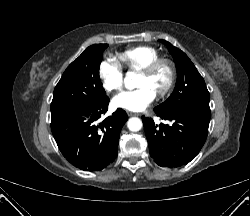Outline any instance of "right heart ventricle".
Instances as JSON below:
<instances>
[{
	"mask_svg": "<svg viewBox=\"0 0 250 216\" xmlns=\"http://www.w3.org/2000/svg\"><path fill=\"white\" fill-rule=\"evenodd\" d=\"M155 56V52L147 47L137 48L129 53L131 66L133 68L146 65L148 62L154 59Z\"/></svg>",
	"mask_w": 250,
	"mask_h": 216,
	"instance_id": "e07e8e85",
	"label": "right heart ventricle"
}]
</instances>
